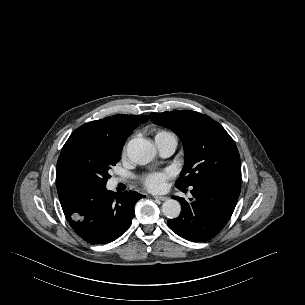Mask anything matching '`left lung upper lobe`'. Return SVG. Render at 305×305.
Masks as SVG:
<instances>
[{
    "instance_id": "obj_1",
    "label": "left lung upper lobe",
    "mask_w": 305,
    "mask_h": 305,
    "mask_svg": "<svg viewBox=\"0 0 305 305\" xmlns=\"http://www.w3.org/2000/svg\"><path fill=\"white\" fill-rule=\"evenodd\" d=\"M154 124L173 130L182 140L185 164L177 188L195 186L207 179L241 174L234 140L212 118L194 111L151 113Z\"/></svg>"
}]
</instances>
